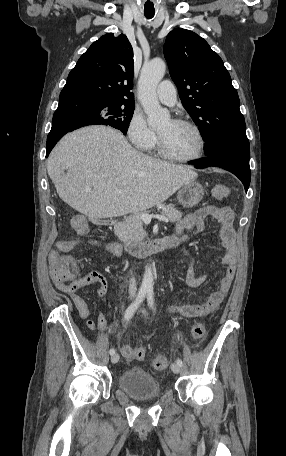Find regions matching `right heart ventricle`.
Returning a JSON list of instances; mask_svg holds the SVG:
<instances>
[{"label":"right heart ventricle","instance_id":"e07e8e85","mask_svg":"<svg viewBox=\"0 0 286 456\" xmlns=\"http://www.w3.org/2000/svg\"><path fill=\"white\" fill-rule=\"evenodd\" d=\"M155 144H156V142L151 146L150 149H154L155 148Z\"/></svg>","mask_w":286,"mask_h":456}]
</instances>
